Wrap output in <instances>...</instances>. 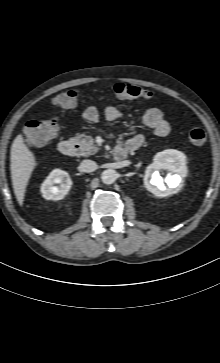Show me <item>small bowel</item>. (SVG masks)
<instances>
[{
  "instance_id": "small-bowel-1",
  "label": "small bowel",
  "mask_w": 220,
  "mask_h": 363,
  "mask_svg": "<svg viewBox=\"0 0 220 363\" xmlns=\"http://www.w3.org/2000/svg\"><path fill=\"white\" fill-rule=\"evenodd\" d=\"M105 118L109 121H116L122 117L121 111L114 107L109 106L104 111ZM83 118L95 123L99 119V111L96 107L90 106L83 112ZM143 124L150 129L156 136L164 137L170 132V125L165 120L163 112L158 108L148 109L143 116ZM144 138L141 135H135L121 143L120 146L130 151H135L141 147Z\"/></svg>"
}]
</instances>
